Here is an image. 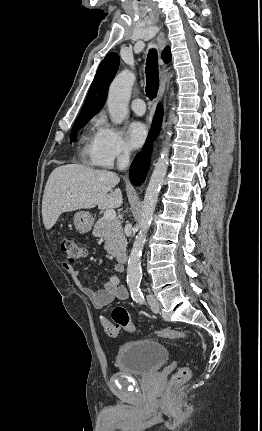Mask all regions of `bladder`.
I'll list each match as a JSON object with an SVG mask.
<instances>
[{"label":"bladder","instance_id":"31cf9c89","mask_svg":"<svg viewBox=\"0 0 262 431\" xmlns=\"http://www.w3.org/2000/svg\"><path fill=\"white\" fill-rule=\"evenodd\" d=\"M168 357V350L162 343L150 339H137L118 350L116 364L121 372L146 375L159 369Z\"/></svg>","mask_w":262,"mask_h":431}]
</instances>
